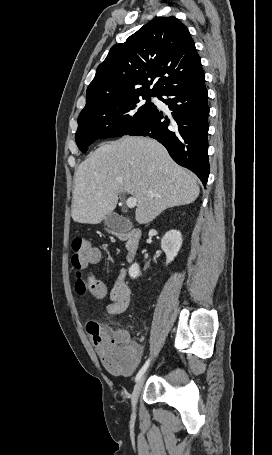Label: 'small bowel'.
<instances>
[{
    "mask_svg": "<svg viewBox=\"0 0 272 455\" xmlns=\"http://www.w3.org/2000/svg\"><path fill=\"white\" fill-rule=\"evenodd\" d=\"M131 299V291L125 279V273L122 271L119 276L114 281L111 290H110V303L105 307L106 312L109 315H119L124 313L129 305ZM116 336L129 341L130 335L125 330H118L116 332ZM136 349V357L134 359L133 364L130 366L129 369L124 371V374L129 375L131 374L136 366L138 365L141 355H142V348L139 345H134Z\"/></svg>",
    "mask_w": 272,
    "mask_h": 455,
    "instance_id": "1",
    "label": "small bowel"
}]
</instances>
